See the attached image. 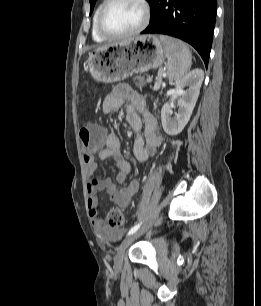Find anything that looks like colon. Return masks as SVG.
<instances>
[{
	"mask_svg": "<svg viewBox=\"0 0 261 306\" xmlns=\"http://www.w3.org/2000/svg\"><path fill=\"white\" fill-rule=\"evenodd\" d=\"M82 150L84 153H94L101 148L104 139V131L97 124H86L79 131ZM108 224L112 228H123L126 224V216L120 210H111L108 214Z\"/></svg>",
	"mask_w": 261,
	"mask_h": 306,
	"instance_id": "colon-1",
	"label": "colon"
}]
</instances>
